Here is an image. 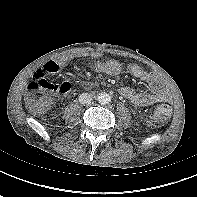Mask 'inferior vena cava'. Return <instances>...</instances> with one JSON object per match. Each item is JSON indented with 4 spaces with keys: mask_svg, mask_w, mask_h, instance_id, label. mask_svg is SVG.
Listing matches in <instances>:
<instances>
[{
    "mask_svg": "<svg viewBox=\"0 0 197 197\" xmlns=\"http://www.w3.org/2000/svg\"><path fill=\"white\" fill-rule=\"evenodd\" d=\"M92 101V96L89 93H82L79 96V102L81 104H89Z\"/></svg>",
    "mask_w": 197,
    "mask_h": 197,
    "instance_id": "602c4592",
    "label": "inferior vena cava"
}]
</instances>
